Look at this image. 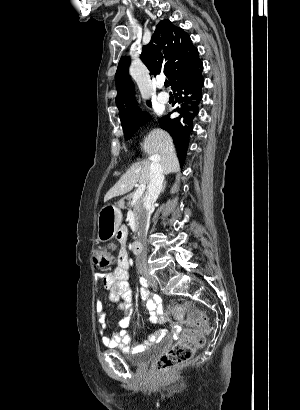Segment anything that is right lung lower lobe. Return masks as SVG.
<instances>
[{"label": "right lung lower lobe", "instance_id": "1", "mask_svg": "<svg viewBox=\"0 0 300 410\" xmlns=\"http://www.w3.org/2000/svg\"><path fill=\"white\" fill-rule=\"evenodd\" d=\"M203 63L198 58L195 63L172 83V90L176 101L173 103L174 118L170 114L159 119L160 126L167 130L174 138L178 158L184 163L189 138L193 130V121L198 115L199 104L202 100Z\"/></svg>", "mask_w": 300, "mask_h": 410}]
</instances>
